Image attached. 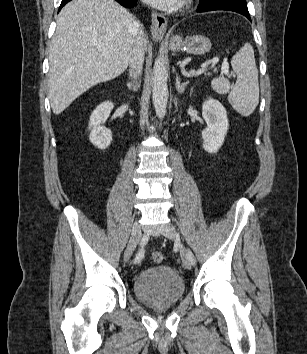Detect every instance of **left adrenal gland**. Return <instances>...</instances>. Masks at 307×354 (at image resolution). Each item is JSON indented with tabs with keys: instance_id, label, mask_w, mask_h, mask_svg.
<instances>
[{
	"instance_id": "1",
	"label": "left adrenal gland",
	"mask_w": 307,
	"mask_h": 354,
	"mask_svg": "<svg viewBox=\"0 0 307 354\" xmlns=\"http://www.w3.org/2000/svg\"><path fill=\"white\" fill-rule=\"evenodd\" d=\"M188 84H189V81H186L181 84L179 76L178 75L176 76V89H177L178 93L182 94L185 91V88L187 87Z\"/></svg>"
}]
</instances>
